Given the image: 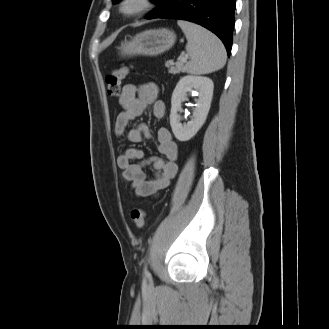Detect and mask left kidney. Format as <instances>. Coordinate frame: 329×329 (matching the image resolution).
<instances>
[{
    "instance_id": "obj_1",
    "label": "left kidney",
    "mask_w": 329,
    "mask_h": 329,
    "mask_svg": "<svg viewBox=\"0 0 329 329\" xmlns=\"http://www.w3.org/2000/svg\"><path fill=\"white\" fill-rule=\"evenodd\" d=\"M213 89V81L208 77L187 75L177 83L171 98L170 125L179 141L190 140L204 124L210 109ZM192 90L198 92L196 107L191 121L183 125L178 112L181 111V102L187 96V92Z\"/></svg>"
}]
</instances>
